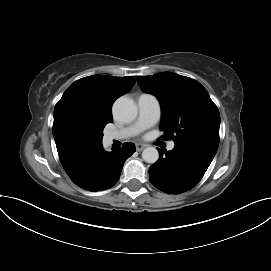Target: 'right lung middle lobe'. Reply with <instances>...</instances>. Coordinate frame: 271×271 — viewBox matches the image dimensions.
<instances>
[{"label":"right lung middle lobe","mask_w":271,"mask_h":271,"mask_svg":"<svg viewBox=\"0 0 271 271\" xmlns=\"http://www.w3.org/2000/svg\"><path fill=\"white\" fill-rule=\"evenodd\" d=\"M107 123L109 122L104 121V120H93V121L78 123L75 126V128L80 133H83L85 135L94 137L102 141L103 128L105 127Z\"/></svg>","instance_id":"right-lung-middle-lobe-1"}]
</instances>
